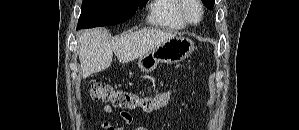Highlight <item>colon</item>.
I'll return each mask as SVG.
<instances>
[{
  "instance_id": "colon-1",
  "label": "colon",
  "mask_w": 299,
  "mask_h": 130,
  "mask_svg": "<svg viewBox=\"0 0 299 130\" xmlns=\"http://www.w3.org/2000/svg\"><path fill=\"white\" fill-rule=\"evenodd\" d=\"M177 90L178 85H174L154 96H139L132 92L97 82L89 86L90 96L94 100L110 102L114 107L122 109L141 108L145 111H152L167 106L173 100Z\"/></svg>"
}]
</instances>
